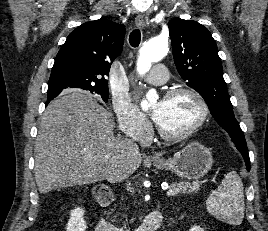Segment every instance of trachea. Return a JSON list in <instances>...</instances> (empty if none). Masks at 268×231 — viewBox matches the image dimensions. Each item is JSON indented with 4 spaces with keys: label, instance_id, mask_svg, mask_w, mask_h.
Here are the masks:
<instances>
[{
    "label": "trachea",
    "instance_id": "trachea-1",
    "mask_svg": "<svg viewBox=\"0 0 268 231\" xmlns=\"http://www.w3.org/2000/svg\"><path fill=\"white\" fill-rule=\"evenodd\" d=\"M141 40V33L139 30H133L129 36V42L132 47H138Z\"/></svg>",
    "mask_w": 268,
    "mask_h": 231
}]
</instances>
